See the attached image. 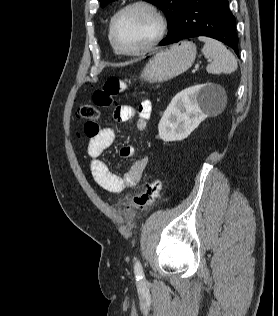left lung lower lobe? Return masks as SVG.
I'll list each match as a JSON object with an SVG mask.
<instances>
[{"label":"left lung lower lobe","mask_w":278,"mask_h":316,"mask_svg":"<svg viewBox=\"0 0 278 316\" xmlns=\"http://www.w3.org/2000/svg\"><path fill=\"white\" fill-rule=\"evenodd\" d=\"M196 36L222 41L239 55L236 19L229 10L227 0H186L175 28L159 45Z\"/></svg>","instance_id":"0a47b994"}]
</instances>
